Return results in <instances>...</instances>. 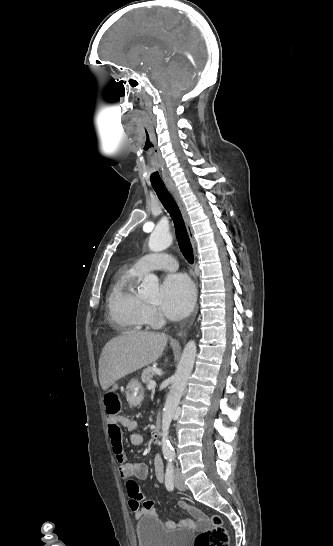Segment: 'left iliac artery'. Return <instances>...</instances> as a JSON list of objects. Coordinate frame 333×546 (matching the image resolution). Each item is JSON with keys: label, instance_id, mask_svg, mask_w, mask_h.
I'll return each instance as SVG.
<instances>
[{"label": "left iliac artery", "instance_id": "44dca946", "mask_svg": "<svg viewBox=\"0 0 333 546\" xmlns=\"http://www.w3.org/2000/svg\"><path fill=\"white\" fill-rule=\"evenodd\" d=\"M169 457L173 459V458H174V455H170Z\"/></svg>", "mask_w": 333, "mask_h": 546}]
</instances>
